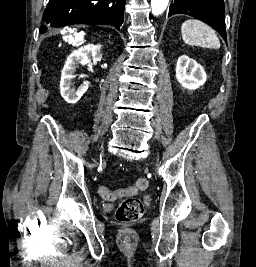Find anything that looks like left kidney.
Segmentation results:
<instances>
[{
	"label": "left kidney",
	"instance_id": "obj_1",
	"mask_svg": "<svg viewBox=\"0 0 256 267\" xmlns=\"http://www.w3.org/2000/svg\"><path fill=\"white\" fill-rule=\"evenodd\" d=\"M176 80L186 90H197L207 80L204 68L188 56H180L176 64Z\"/></svg>",
	"mask_w": 256,
	"mask_h": 267
}]
</instances>
